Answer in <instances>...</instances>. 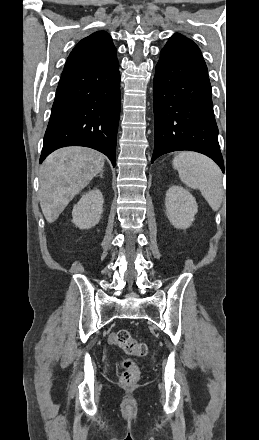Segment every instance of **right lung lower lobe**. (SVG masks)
I'll use <instances>...</instances> for the list:
<instances>
[{"instance_id":"98d812e1","label":"right lung lower lobe","mask_w":259,"mask_h":440,"mask_svg":"<svg viewBox=\"0 0 259 440\" xmlns=\"http://www.w3.org/2000/svg\"><path fill=\"white\" fill-rule=\"evenodd\" d=\"M120 79L116 56L96 66L62 72L40 163L58 148L85 146L102 152L115 166Z\"/></svg>"}]
</instances>
